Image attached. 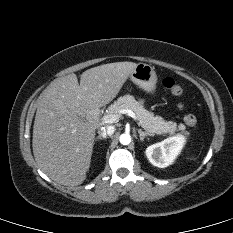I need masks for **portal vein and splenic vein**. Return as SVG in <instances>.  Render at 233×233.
<instances>
[{
  "instance_id": "1",
  "label": "portal vein and splenic vein",
  "mask_w": 233,
  "mask_h": 233,
  "mask_svg": "<svg viewBox=\"0 0 233 233\" xmlns=\"http://www.w3.org/2000/svg\"><path fill=\"white\" fill-rule=\"evenodd\" d=\"M121 114H126L128 116H130L131 118H133L135 121L137 120V117L135 115V113L130 110V109H123L120 110L118 113L115 114H110V115H106L102 118L103 123H116L119 121L120 115Z\"/></svg>"
}]
</instances>
